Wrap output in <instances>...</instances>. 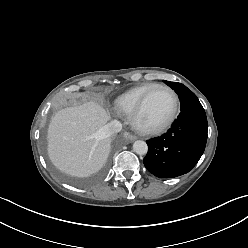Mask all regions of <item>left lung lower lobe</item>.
Segmentation results:
<instances>
[{
    "instance_id": "obj_1",
    "label": "left lung lower lobe",
    "mask_w": 248,
    "mask_h": 248,
    "mask_svg": "<svg viewBox=\"0 0 248 248\" xmlns=\"http://www.w3.org/2000/svg\"><path fill=\"white\" fill-rule=\"evenodd\" d=\"M181 110L167 133L147 140L145 167L159 178L189 172L202 156L207 141V118L199 101Z\"/></svg>"
}]
</instances>
